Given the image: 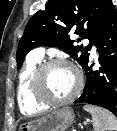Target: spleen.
Returning <instances> with one entry per match:
<instances>
[{"label":"spleen","instance_id":"3e777b00","mask_svg":"<svg viewBox=\"0 0 117 131\" xmlns=\"http://www.w3.org/2000/svg\"><path fill=\"white\" fill-rule=\"evenodd\" d=\"M84 110L92 116L94 131H117V118L108 110L86 105Z\"/></svg>","mask_w":117,"mask_h":131}]
</instances>
